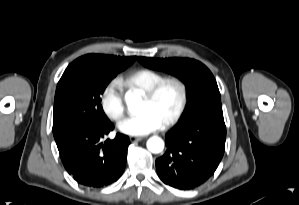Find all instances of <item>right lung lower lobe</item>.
<instances>
[{
	"instance_id": "98d812e1",
	"label": "right lung lower lobe",
	"mask_w": 299,
	"mask_h": 205,
	"mask_svg": "<svg viewBox=\"0 0 299 205\" xmlns=\"http://www.w3.org/2000/svg\"><path fill=\"white\" fill-rule=\"evenodd\" d=\"M113 129L111 122L81 127L57 143L64 167L79 184L100 188L121 177L130 141L117 133L113 140L101 142Z\"/></svg>"
}]
</instances>
